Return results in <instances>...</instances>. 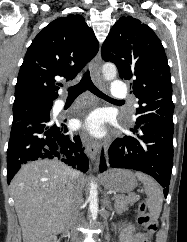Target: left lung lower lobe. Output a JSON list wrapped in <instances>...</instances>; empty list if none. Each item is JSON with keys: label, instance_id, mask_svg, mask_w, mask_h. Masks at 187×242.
<instances>
[{"label": "left lung lower lobe", "instance_id": "obj_1", "mask_svg": "<svg viewBox=\"0 0 187 242\" xmlns=\"http://www.w3.org/2000/svg\"><path fill=\"white\" fill-rule=\"evenodd\" d=\"M130 131L131 135L117 138L102 152L100 172L108 167L144 172L165 188L167 197L173 166V126L150 122Z\"/></svg>", "mask_w": 187, "mask_h": 242}]
</instances>
